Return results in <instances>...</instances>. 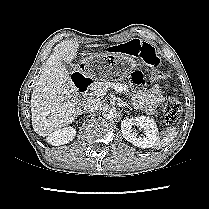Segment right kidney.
Here are the masks:
<instances>
[{"mask_svg":"<svg viewBox=\"0 0 209 209\" xmlns=\"http://www.w3.org/2000/svg\"><path fill=\"white\" fill-rule=\"evenodd\" d=\"M76 130L73 127H64L52 132L47 137V142L54 146L64 145L74 139Z\"/></svg>","mask_w":209,"mask_h":209,"instance_id":"1","label":"right kidney"}]
</instances>
